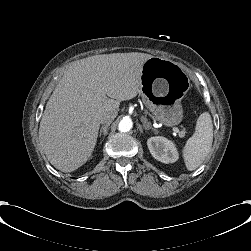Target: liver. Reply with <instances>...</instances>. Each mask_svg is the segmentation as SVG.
Listing matches in <instances>:
<instances>
[{
    "mask_svg": "<svg viewBox=\"0 0 251 251\" xmlns=\"http://www.w3.org/2000/svg\"><path fill=\"white\" fill-rule=\"evenodd\" d=\"M151 57L138 52L103 54L69 67L50 96L39 127L40 146L56 169L72 172L88 160L101 120L114 119L120 102L137 96L143 64ZM100 94L105 95L101 100Z\"/></svg>",
    "mask_w": 251,
    "mask_h": 251,
    "instance_id": "6515ba94",
    "label": "liver"
}]
</instances>
